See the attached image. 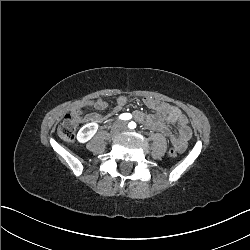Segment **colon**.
<instances>
[{"mask_svg":"<svg viewBox=\"0 0 250 250\" xmlns=\"http://www.w3.org/2000/svg\"><path fill=\"white\" fill-rule=\"evenodd\" d=\"M78 121L72 114L66 115L59 123L57 128L58 136L66 142L73 141L76 136ZM180 149L178 147H170L167 149V154L171 157H176L179 154Z\"/></svg>","mask_w":250,"mask_h":250,"instance_id":"obj_1","label":"colon"}]
</instances>
